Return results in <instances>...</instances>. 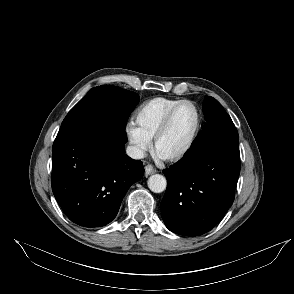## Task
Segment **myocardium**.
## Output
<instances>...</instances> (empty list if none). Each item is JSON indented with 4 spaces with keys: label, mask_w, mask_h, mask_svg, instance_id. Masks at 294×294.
Instances as JSON below:
<instances>
[{
    "label": "myocardium",
    "mask_w": 294,
    "mask_h": 294,
    "mask_svg": "<svg viewBox=\"0 0 294 294\" xmlns=\"http://www.w3.org/2000/svg\"><path fill=\"white\" fill-rule=\"evenodd\" d=\"M184 104L192 105L196 111L197 121H196V126L194 128V131H193L189 141L187 142V144L180 151H178L177 153L172 154L170 156H167V157L160 156L158 153L159 142L162 139V137L165 135L167 130L169 129L175 113ZM201 127H202V113H201L199 106L192 100L183 99V100L179 101L167 112L162 123L160 124L158 130L156 131V133L154 135L153 149H154L155 154L167 162H177V161L183 159L193 148V146L199 136V133L201 131Z\"/></svg>",
    "instance_id": "myocardium-1"
}]
</instances>
